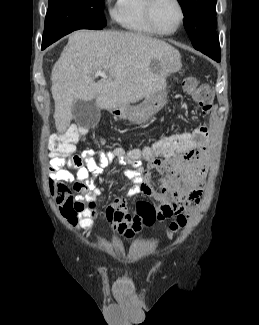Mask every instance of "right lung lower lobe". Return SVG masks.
<instances>
[{
  "label": "right lung lower lobe",
  "mask_w": 259,
  "mask_h": 325,
  "mask_svg": "<svg viewBox=\"0 0 259 325\" xmlns=\"http://www.w3.org/2000/svg\"><path fill=\"white\" fill-rule=\"evenodd\" d=\"M47 46L46 45H42V49H45Z\"/></svg>",
  "instance_id": "right-lung-lower-lobe-1"
}]
</instances>
